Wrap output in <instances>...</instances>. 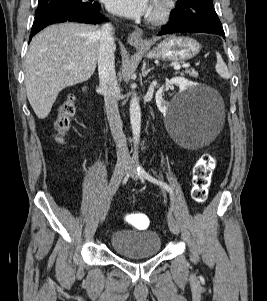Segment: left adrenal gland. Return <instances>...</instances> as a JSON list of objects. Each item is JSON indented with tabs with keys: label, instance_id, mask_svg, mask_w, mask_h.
<instances>
[{
	"label": "left adrenal gland",
	"instance_id": "obj_1",
	"mask_svg": "<svg viewBox=\"0 0 267 301\" xmlns=\"http://www.w3.org/2000/svg\"><path fill=\"white\" fill-rule=\"evenodd\" d=\"M152 69H153L152 67L149 69H146V61H144L143 66H142V76L146 77Z\"/></svg>",
	"mask_w": 267,
	"mask_h": 301
}]
</instances>
